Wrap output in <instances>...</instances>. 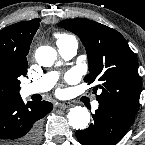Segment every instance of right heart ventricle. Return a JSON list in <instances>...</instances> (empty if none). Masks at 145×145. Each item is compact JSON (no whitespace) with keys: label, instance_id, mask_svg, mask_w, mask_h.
I'll list each match as a JSON object with an SVG mask.
<instances>
[{"label":"right heart ventricle","instance_id":"1","mask_svg":"<svg viewBox=\"0 0 145 145\" xmlns=\"http://www.w3.org/2000/svg\"><path fill=\"white\" fill-rule=\"evenodd\" d=\"M57 38H58L57 41H60V40H66V39L73 38V37H70V36L65 35V34H58Z\"/></svg>","mask_w":145,"mask_h":145}]
</instances>
